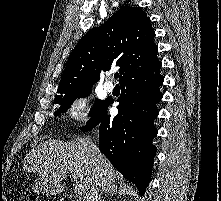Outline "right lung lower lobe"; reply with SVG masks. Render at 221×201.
<instances>
[{
  "mask_svg": "<svg viewBox=\"0 0 221 201\" xmlns=\"http://www.w3.org/2000/svg\"><path fill=\"white\" fill-rule=\"evenodd\" d=\"M159 61L143 73L133 75L121 82L122 94L118 98V115L111 118L107 100L97 123L100 124L99 149L112 165L144 195L148 186L156 147L152 144L157 135L153 120L158 115L155 104L161 100L159 87L164 78Z\"/></svg>",
  "mask_w": 221,
  "mask_h": 201,
  "instance_id": "98d812e1",
  "label": "right lung lower lobe"
}]
</instances>
